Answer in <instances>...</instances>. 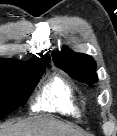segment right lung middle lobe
Wrapping results in <instances>:
<instances>
[{"label": "right lung middle lobe", "instance_id": "right-lung-middle-lobe-1", "mask_svg": "<svg viewBox=\"0 0 117 136\" xmlns=\"http://www.w3.org/2000/svg\"><path fill=\"white\" fill-rule=\"evenodd\" d=\"M49 61L26 66L0 63V119L26 103Z\"/></svg>", "mask_w": 117, "mask_h": 136}]
</instances>
